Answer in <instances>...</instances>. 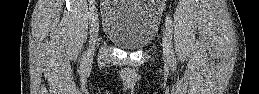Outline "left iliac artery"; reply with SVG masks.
Segmentation results:
<instances>
[{"label":"left iliac artery","instance_id":"44dca946","mask_svg":"<svg viewBox=\"0 0 259 94\" xmlns=\"http://www.w3.org/2000/svg\"><path fill=\"white\" fill-rule=\"evenodd\" d=\"M165 27L167 30V35L169 36V41H170V47H172V21L169 16H166L165 18ZM170 63L172 67H175L176 65V58L173 49L171 48L170 51Z\"/></svg>","mask_w":259,"mask_h":94}]
</instances>
